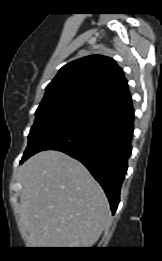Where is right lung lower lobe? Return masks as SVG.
I'll list each match as a JSON object with an SVG mask.
<instances>
[{"instance_id": "98d812e1", "label": "right lung lower lobe", "mask_w": 162, "mask_h": 261, "mask_svg": "<svg viewBox=\"0 0 162 261\" xmlns=\"http://www.w3.org/2000/svg\"><path fill=\"white\" fill-rule=\"evenodd\" d=\"M133 119L130 95L109 101L55 130L20 163L43 150L70 155L82 162L103 187L114 214L132 151Z\"/></svg>"}]
</instances>
